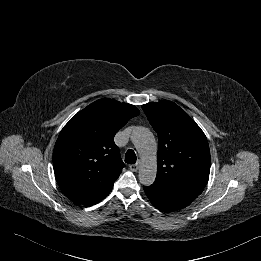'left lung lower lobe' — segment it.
Listing matches in <instances>:
<instances>
[{
	"mask_svg": "<svg viewBox=\"0 0 261 261\" xmlns=\"http://www.w3.org/2000/svg\"><path fill=\"white\" fill-rule=\"evenodd\" d=\"M144 191L151 203L159 210L168 212L183 209L190 205L198 196L197 194L162 186L153 183L151 186L144 187Z\"/></svg>",
	"mask_w": 261,
	"mask_h": 261,
	"instance_id": "0a47b994",
	"label": "left lung lower lobe"
}]
</instances>
